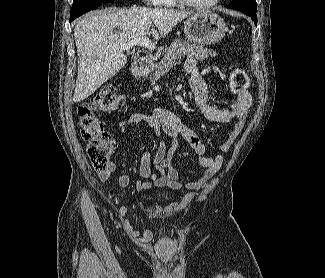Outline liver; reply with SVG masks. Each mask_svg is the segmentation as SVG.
Returning <instances> with one entry per match:
<instances>
[{"mask_svg": "<svg viewBox=\"0 0 325 278\" xmlns=\"http://www.w3.org/2000/svg\"><path fill=\"white\" fill-rule=\"evenodd\" d=\"M192 14L148 7L109 8L88 13L74 29L78 77L73 101L88 98L125 66L127 57L121 45L150 34L159 40ZM116 28L120 33L114 32Z\"/></svg>", "mask_w": 325, "mask_h": 278, "instance_id": "6515ba94", "label": "liver"}]
</instances>
